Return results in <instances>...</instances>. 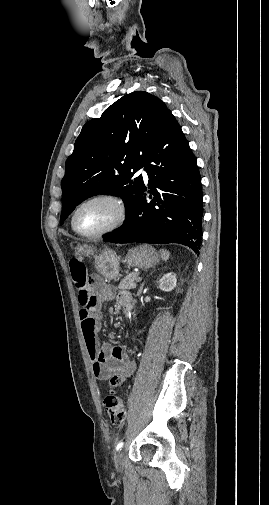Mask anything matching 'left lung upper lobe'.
<instances>
[{"label": "left lung upper lobe", "mask_w": 269, "mask_h": 505, "mask_svg": "<svg viewBox=\"0 0 269 505\" xmlns=\"http://www.w3.org/2000/svg\"><path fill=\"white\" fill-rule=\"evenodd\" d=\"M168 108L159 98L135 91L118 99L98 119L87 122L65 164L61 181V224L77 205L98 194L120 196L126 220L136 201L150 139Z\"/></svg>", "instance_id": "left-lung-upper-lobe-1"}]
</instances>
